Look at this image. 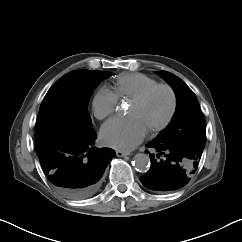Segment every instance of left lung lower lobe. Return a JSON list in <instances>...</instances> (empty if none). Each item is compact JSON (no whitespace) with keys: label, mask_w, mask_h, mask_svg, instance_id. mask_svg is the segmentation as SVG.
<instances>
[{"label":"left lung lower lobe","mask_w":242,"mask_h":242,"mask_svg":"<svg viewBox=\"0 0 242 242\" xmlns=\"http://www.w3.org/2000/svg\"><path fill=\"white\" fill-rule=\"evenodd\" d=\"M146 146L157 154L149 153L151 168L140 180L146 188L157 192L185 186L195 173L203 152L192 145H169L155 140Z\"/></svg>","instance_id":"0a47b994"}]
</instances>
